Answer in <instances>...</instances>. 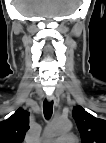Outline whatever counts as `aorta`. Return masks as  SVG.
Instances as JSON below:
<instances>
[{
	"label": "aorta",
	"mask_w": 106,
	"mask_h": 143,
	"mask_svg": "<svg viewBox=\"0 0 106 143\" xmlns=\"http://www.w3.org/2000/svg\"><path fill=\"white\" fill-rule=\"evenodd\" d=\"M72 124L69 120L55 119L47 127V134L49 136H57L63 133H67L71 130Z\"/></svg>",
	"instance_id": "1"
}]
</instances>
